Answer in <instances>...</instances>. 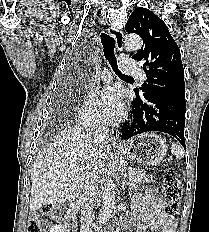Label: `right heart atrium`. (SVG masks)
Instances as JSON below:
<instances>
[{
    "label": "right heart atrium",
    "mask_w": 209,
    "mask_h": 232,
    "mask_svg": "<svg viewBox=\"0 0 209 232\" xmlns=\"http://www.w3.org/2000/svg\"><path fill=\"white\" fill-rule=\"evenodd\" d=\"M77 122L84 128L101 127L105 123V118L95 101L87 97L83 100L81 107L77 112Z\"/></svg>",
    "instance_id": "right-heart-atrium-1"
}]
</instances>
